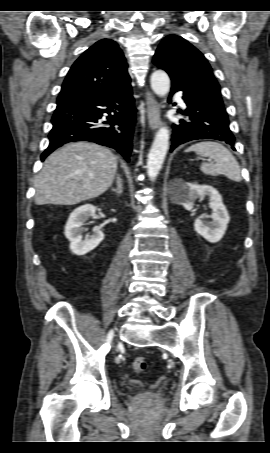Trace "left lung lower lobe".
Listing matches in <instances>:
<instances>
[{
	"mask_svg": "<svg viewBox=\"0 0 270 453\" xmlns=\"http://www.w3.org/2000/svg\"><path fill=\"white\" fill-rule=\"evenodd\" d=\"M183 91V99L187 109L182 114L188 119H181L173 124L171 151L180 144L197 139H216L231 145L235 150V137L229 128V120L225 109L192 97L180 85L172 84L171 94Z\"/></svg>",
	"mask_w": 270,
	"mask_h": 453,
	"instance_id": "obj_1",
	"label": "left lung lower lobe"
}]
</instances>
